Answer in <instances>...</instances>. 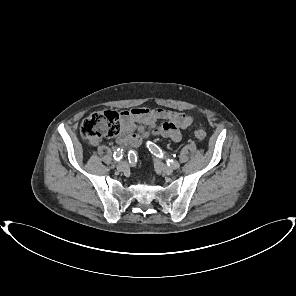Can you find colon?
Instances as JSON below:
<instances>
[{
	"label": "colon",
	"instance_id": "5ec220e1",
	"mask_svg": "<svg viewBox=\"0 0 296 296\" xmlns=\"http://www.w3.org/2000/svg\"><path fill=\"white\" fill-rule=\"evenodd\" d=\"M120 113L113 110L97 111L90 114L81 124L80 133L88 143L95 145L103 137H112L120 131ZM196 138L202 140L207 133L198 128L194 132Z\"/></svg>",
	"mask_w": 296,
	"mask_h": 296
}]
</instances>
